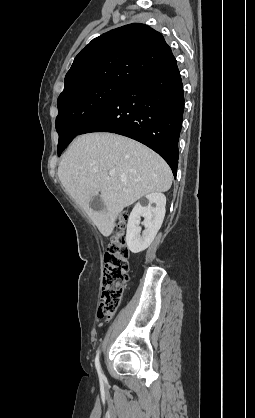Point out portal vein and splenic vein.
I'll return each mask as SVG.
<instances>
[{
  "label": "portal vein and splenic vein",
  "instance_id": "portal-vein-and-splenic-vein-1",
  "mask_svg": "<svg viewBox=\"0 0 255 418\" xmlns=\"http://www.w3.org/2000/svg\"><path fill=\"white\" fill-rule=\"evenodd\" d=\"M109 175H110V176H113V175H114V173H113V172H110V173H109Z\"/></svg>",
  "mask_w": 255,
  "mask_h": 418
}]
</instances>
